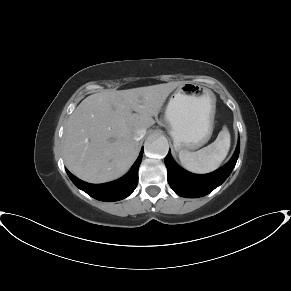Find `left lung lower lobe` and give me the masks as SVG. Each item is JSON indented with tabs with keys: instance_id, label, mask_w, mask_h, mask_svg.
Returning a JSON list of instances; mask_svg holds the SVG:
<instances>
[{
	"instance_id": "1",
	"label": "left lung lower lobe",
	"mask_w": 291,
	"mask_h": 291,
	"mask_svg": "<svg viewBox=\"0 0 291 291\" xmlns=\"http://www.w3.org/2000/svg\"><path fill=\"white\" fill-rule=\"evenodd\" d=\"M240 150L238 141L236 150L230 161L220 169L204 175L192 174L180 168L172 159L169 151L165 158L168 169V183L178 195L186 198H197L209 194L221 185L236 165Z\"/></svg>"
}]
</instances>
